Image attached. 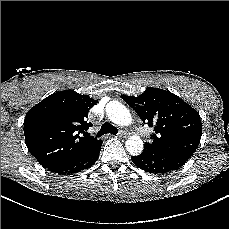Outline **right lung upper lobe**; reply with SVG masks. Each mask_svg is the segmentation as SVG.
I'll return each mask as SVG.
<instances>
[{
	"mask_svg": "<svg viewBox=\"0 0 229 229\" xmlns=\"http://www.w3.org/2000/svg\"><path fill=\"white\" fill-rule=\"evenodd\" d=\"M97 101L74 91L54 93L35 105L24 122L25 143L43 166L53 165L93 147L101 140L87 130L88 111Z\"/></svg>",
	"mask_w": 229,
	"mask_h": 229,
	"instance_id": "cb5924a9",
	"label": "right lung upper lobe"
}]
</instances>
